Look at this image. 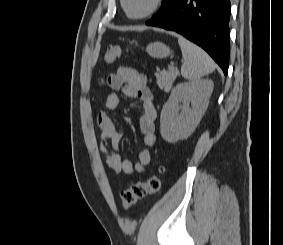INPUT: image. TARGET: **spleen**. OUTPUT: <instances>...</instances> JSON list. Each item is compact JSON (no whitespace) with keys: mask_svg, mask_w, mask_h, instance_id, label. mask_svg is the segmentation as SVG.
Returning a JSON list of instances; mask_svg holds the SVG:
<instances>
[{"mask_svg":"<svg viewBox=\"0 0 283 245\" xmlns=\"http://www.w3.org/2000/svg\"><path fill=\"white\" fill-rule=\"evenodd\" d=\"M178 43L184 58L181 67L184 79L196 81L215 70V63L199 46L182 36L178 37Z\"/></svg>","mask_w":283,"mask_h":245,"instance_id":"3e777b00","label":"spleen"}]
</instances>
